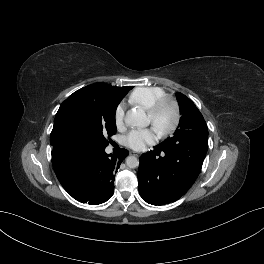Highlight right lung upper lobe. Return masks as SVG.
Instances as JSON below:
<instances>
[{
    "label": "right lung upper lobe",
    "mask_w": 264,
    "mask_h": 264,
    "mask_svg": "<svg viewBox=\"0 0 264 264\" xmlns=\"http://www.w3.org/2000/svg\"><path fill=\"white\" fill-rule=\"evenodd\" d=\"M120 91H123V92H127L128 93V91L129 90H131L133 87L132 86H126V87H117ZM62 152H60V151H58V150H56V149H54L53 148V151H52V154H61Z\"/></svg>",
    "instance_id": "1"
}]
</instances>
